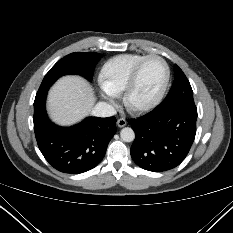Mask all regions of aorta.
I'll return each mask as SVG.
<instances>
[{
    "instance_id": "aorta-1",
    "label": "aorta",
    "mask_w": 233,
    "mask_h": 233,
    "mask_svg": "<svg viewBox=\"0 0 233 233\" xmlns=\"http://www.w3.org/2000/svg\"><path fill=\"white\" fill-rule=\"evenodd\" d=\"M120 136L124 142H132L135 138V133L132 128L125 127L121 130Z\"/></svg>"
}]
</instances>
